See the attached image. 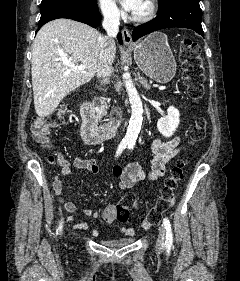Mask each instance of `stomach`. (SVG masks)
I'll use <instances>...</instances> for the list:
<instances>
[{
  "mask_svg": "<svg viewBox=\"0 0 240 281\" xmlns=\"http://www.w3.org/2000/svg\"><path fill=\"white\" fill-rule=\"evenodd\" d=\"M138 67L151 79L167 83L176 73V61L167 37L156 32L132 47Z\"/></svg>",
  "mask_w": 240,
  "mask_h": 281,
  "instance_id": "obj_1",
  "label": "stomach"
}]
</instances>
